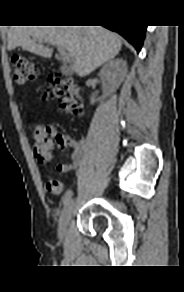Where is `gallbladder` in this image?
Here are the masks:
<instances>
[{
  "instance_id": "1",
  "label": "gallbladder",
  "mask_w": 184,
  "mask_h": 292,
  "mask_svg": "<svg viewBox=\"0 0 184 292\" xmlns=\"http://www.w3.org/2000/svg\"><path fill=\"white\" fill-rule=\"evenodd\" d=\"M61 71H62V73L65 74V75L70 74V71L68 70V68H65V67H62V68H61Z\"/></svg>"
}]
</instances>
